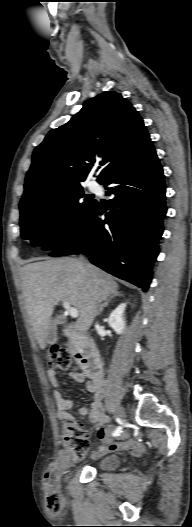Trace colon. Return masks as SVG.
<instances>
[{
  "label": "colon",
  "instance_id": "5ec220e1",
  "mask_svg": "<svg viewBox=\"0 0 192 527\" xmlns=\"http://www.w3.org/2000/svg\"><path fill=\"white\" fill-rule=\"evenodd\" d=\"M49 363L52 367L63 371L75 369V363L70 353L59 347H53L51 349ZM61 435L63 447L69 458L80 459L85 456L90 446L89 432L76 420L70 419L65 421L62 426ZM47 502L49 505L55 506L57 498L54 495H49Z\"/></svg>",
  "mask_w": 192,
  "mask_h": 527
}]
</instances>
